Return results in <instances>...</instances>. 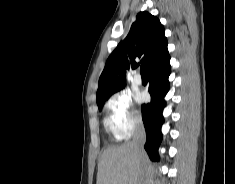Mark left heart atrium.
<instances>
[{"instance_id":"1","label":"left heart atrium","mask_w":235,"mask_h":184,"mask_svg":"<svg viewBox=\"0 0 235 184\" xmlns=\"http://www.w3.org/2000/svg\"><path fill=\"white\" fill-rule=\"evenodd\" d=\"M143 100V97L141 95L136 96V101L141 102Z\"/></svg>"}]
</instances>
